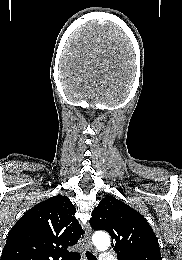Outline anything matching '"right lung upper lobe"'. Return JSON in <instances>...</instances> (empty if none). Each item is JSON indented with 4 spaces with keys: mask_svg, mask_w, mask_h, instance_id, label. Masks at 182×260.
Listing matches in <instances>:
<instances>
[{
    "mask_svg": "<svg viewBox=\"0 0 182 260\" xmlns=\"http://www.w3.org/2000/svg\"><path fill=\"white\" fill-rule=\"evenodd\" d=\"M68 197L53 196L29 209L11 228L1 260H69L84 233Z\"/></svg>",
    "mask_w": 182,
    "mask_h": 260,
    "instance_id": "right-lung-upper-lobe-1",
    "label": "right lung upper lobe"
}]
</instances>
